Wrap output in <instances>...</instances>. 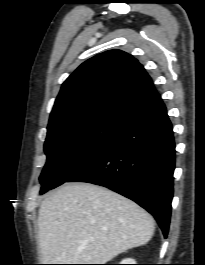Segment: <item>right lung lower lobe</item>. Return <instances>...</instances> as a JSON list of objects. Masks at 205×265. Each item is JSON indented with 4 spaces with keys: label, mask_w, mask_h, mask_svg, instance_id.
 Returning a JSON list of instances; mask_svg holds the SVG:
<instances>
[{
    "label": "right lung lower lobe",
    "mask_w": 205,
    "mask_h": 265,
    "mask_svg": "<svg viewBox=\"0 0 205 265\" xmlns=\"http://www.w3.org/2000/svg\"><path fill=\"white\" fill-rule=\"evenodd\" d=\"M175 143L166 107L159 99L126 122L109 144L66 182H89L135 201L168 234Z\"/></svg>",
    "instance_id": "obj_1"
}]
</instances>
